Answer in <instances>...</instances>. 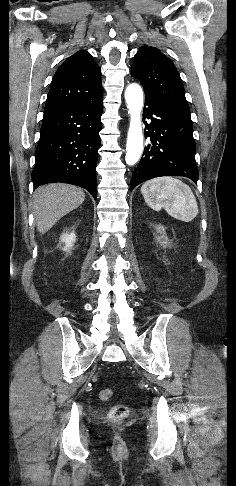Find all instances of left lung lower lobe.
I'll return each mask as SVG.
<instances>
[{
    "label": "left lung lower lobe",
    "instance_id": "1",
    "mask_svg": "<svg viewBox=\"0 0 236 486\" xmlns=\"http://www.w3.org/2000/svg\"><path fill=\"white\" fill-rule=\"evenodd\" d=\"M149 119L150 122L145 121ZM143 122L150 144L134 170L130 190L149 179L161 176H184L197 183L196 145L190 116L183 115L145 93Z\"/></svg>",
    "mask_w": 236,
    "mask_h": 486
}]
</instances>
